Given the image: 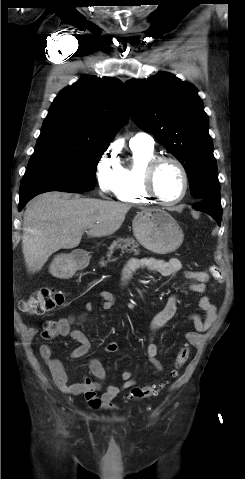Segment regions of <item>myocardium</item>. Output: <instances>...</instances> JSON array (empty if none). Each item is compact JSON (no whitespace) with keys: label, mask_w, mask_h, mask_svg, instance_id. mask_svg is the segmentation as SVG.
<instances>
[{"label":"myocardium","mask_w":245,"mask_h":479,"mask_svg":"<svg viewBox=\"0 0 245 479\" xmlns=\"http://www.w3.org/2000/svg\"><path fill=\"white\" fill-rule=\"evenodd\" d=\"M166 163L174 164L180 171L183 179V190L180 195L175 200L166 201L160 197L156 190V175L158 170L161 168L162 165ZM143 186L145 192L155 201L160 203L164 206H172L182 202L189 190V175L186 170L184 164L176 157L173 156H155L152 158L146 165L144 169V176H143Z\"/></svg>","instance_id":"1"}]
</instances>
